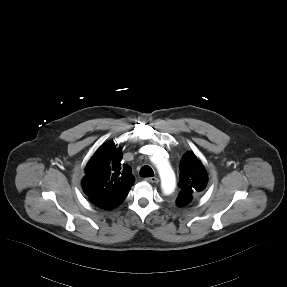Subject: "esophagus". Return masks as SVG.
Wrapping results in <instances>:
<instances>
[{"label":"esophagus","mask_w":287,"mask_h":287,"mask_svg":"<svg viewBox=\"0 0 287 287\" xmlns=\"http://www.w3.org/2000/svg\"><path fill=\"white\" fill-rule=\"evenodd\" d=\"M147 182H150V183H158L159 182V179L156 178V177H148L145 179Z\"/></svg>","instance_id":"esophagus-1"}]
</instances>
